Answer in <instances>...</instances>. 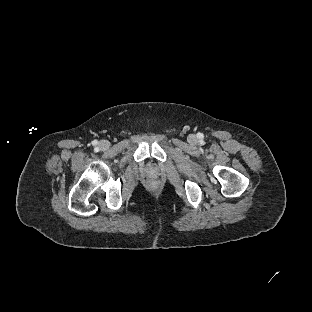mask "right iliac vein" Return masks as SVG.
<instances>
[{
  "label": "right iliac vein",
  "instance_id": "63e3f726",
  "mask_svg": "<svg viewBox=\"0 0 312 312\" xmlns=\"http://www.w3.org/2000/svg\"><path fill=\"white\" fill-rule=\"evenodd\" d=\"M99 147L100 149H107L109 147V142L106 140H102L99 143Z\"/></svg>",
  "mask_w": 312,
  "mask_h": 312
}]
</instances>
